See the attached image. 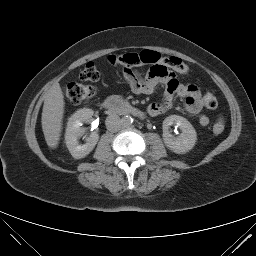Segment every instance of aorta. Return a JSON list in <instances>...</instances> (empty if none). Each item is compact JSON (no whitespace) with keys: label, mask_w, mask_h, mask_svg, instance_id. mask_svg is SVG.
<instances>
[{"label":"aorta","mask_w":256,"mask_h":256,"mask_svg":"<svg viewBox=\"0 0 256 256\" xmlns=\"http://www.w3.org/2000/svg\"><path fill=\"white\" fill-rule=\"evenodd\" d=\"M121 120H122L123 127H129L133 123V118L130 115H126V116L122 117Z\"/></svg>","instance_id":"1"}]
</instances>
